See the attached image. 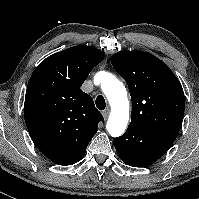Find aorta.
Listing matches in <instances>:
<instances>
[{
    "instance_id": "obj_1",
    "label": "aorta",
    "mask_w": 199,
    "mask_h": 199,
    "mask_svg": "<svg viewBox=\"0 0 199 199\" xmlns=\"http://www.w3.org/2000/svg\"><path fill=\"white\" fill-rule=\"evenodd\" d=\"M101 89L111 106L107 121V131L112 137L121 136L129 121V101L123 83L109 72H100Z\"/></svg>"
}]
</instances>
